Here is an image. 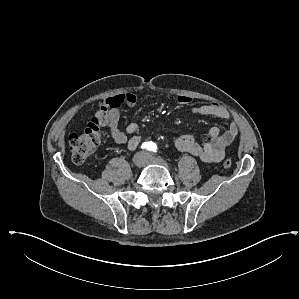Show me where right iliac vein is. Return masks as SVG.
I'll return each mask as SVG.
<instances>
[{
  "label": "right iliac vein",
  "mask_w": 299,
  "mask_h": 299,
  "mask_svg": "<svg viewBox=\"0 0 299 299\" xmlns=\"http://www.w3.org/2000/svg\"><path fill=\"white\" fill-rule=\"evenodd\" d=\"M133 161L137 167H142L144 164V158L141 154L136 155Z\"/></svg>",
  "instance_id": "1"
}]
</instances>
